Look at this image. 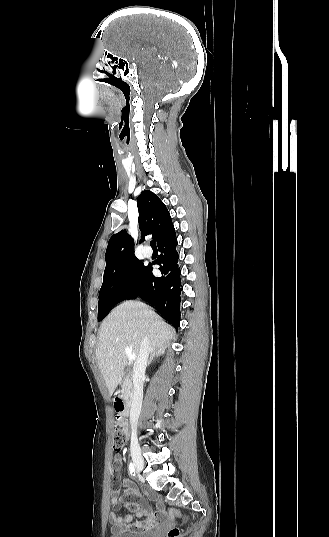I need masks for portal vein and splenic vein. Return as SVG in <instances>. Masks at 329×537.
Instances as JSON below:
<instances>
[{"mask_svg": "<svg viewBox=\"0 0 329 537\" xmlns=\"http://www.w3.org/2000/svg\"><path fill=\"white\" fill-rule=\"evenodd\" d=\"M125 353H126L129 361L135 360L136 355L134 353H132V348L131 347L126 346L125 347Z\"/></svg>", "mask_w": 329, "mask_h": 537, "instance_id": "18ae733b", "label": "portal vein and splenic vein"}]
</instances>
